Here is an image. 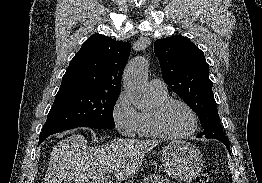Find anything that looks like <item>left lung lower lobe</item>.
<instances>
[{
    "label": "left lung lower lobe",
    "instance_id": "0a47b994",
    "mask_svg": "<svg viewBox=\"0 0 262 183\" xmlns=\"http://www.w3.org/2000/svg\"><path fill=\"white\" fill-rule=\"evenodd\" d=\"M218 140H220L222 143H224L226 145L227 149L230 151V142H229L228 138H220Z\"/></svg>",
    "mask_w": 262,
    "mask_h": 183
}]
</instances>
